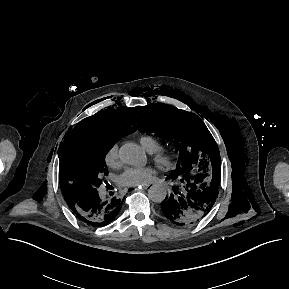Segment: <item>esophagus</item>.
Segmentation results:
<instances>
[{"mask_svg":"<svg viewBox=\"0 0 289 289\" xmlns=\"http://www.w3.org/2000/svg\"><path fill=\"white\" fill-rule=\"evenodd\" d=\"M149 186H150V184L143 185V186H142V189H147ZM134 189H135V190H138V188H134Z\"/></svg>","mask_w":289,"mask_h":289,"instance_id":"34e87169","label":"esophagus"}]
</instances>
